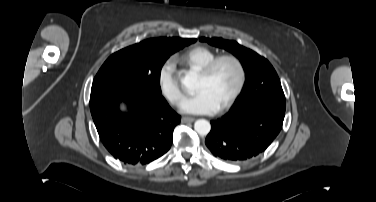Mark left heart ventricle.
Instances as JSON below:
<instances>
[{"label":"left heart ventricle","instance_id":"left-heart-ventricle-1","mask_svg":"<svg viewBox=\"0 0 376 202\" xmlns=\"http://www.w3.org/2000/svg\"><path fill=\"white\" fill-rule=\"evenodd\" d=\"M238 81V72L230 61L221 62L210 77L198 76L196 89H207L220 107L231 95Z\"/></svg>","mask_w":376,"mask_h":202}]
</instances>
